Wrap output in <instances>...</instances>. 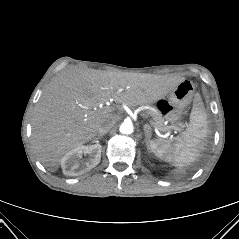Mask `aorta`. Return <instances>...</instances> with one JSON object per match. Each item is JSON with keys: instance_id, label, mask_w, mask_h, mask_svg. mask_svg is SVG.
Masks as SVG:
<instances>
[{"instance_id": "obj_1", "label": "aorta", "mask_w": 239, "mask_h": 239, "mask_svg": "<svg viewBox=\"0 0 239 239\" xmlns=\"http://www.w3.org/2000/svg\"><path fill=\"white\" fill-rule=\"evenodd\" d=\"M119 131H120V133L125 134V135L132 134L134 131L133 123L131 121H124L120 125Z\"/></svg>"}]
</instances>
